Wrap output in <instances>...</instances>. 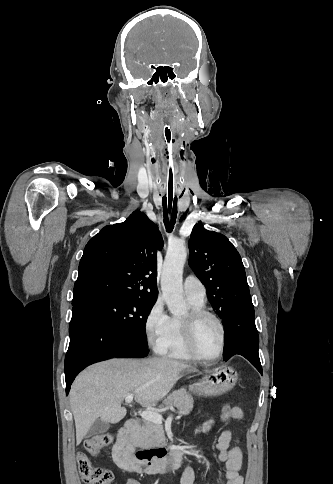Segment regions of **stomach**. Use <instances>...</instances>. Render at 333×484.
Segmentation results:
<instances>
[{
  "label": "stomach",
  "instance_id": "1",
  "mask_svg": "<svg viewBox=\"0 0 333 484\" xmlns=\"http://www.w3.org/2000/svg\"><path fill=\"white\" fill-rule=\"evenodd\" d=\"M202 374V379L191 385L189 390L192 393L218 397L228 393L235 386L238 374L232 366L227 364L218 366Z\"/></svg>",
  "mask_w": 333,
  "mask_h": 484
}]
</instances>
